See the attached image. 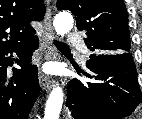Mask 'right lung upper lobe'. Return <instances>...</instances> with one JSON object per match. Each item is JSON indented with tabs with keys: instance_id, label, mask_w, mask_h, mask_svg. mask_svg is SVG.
I'll list each match as a JSON object with an SVG mask.
<instances>
[{
	"instance_id": "obj_1",
	"label": "right lung upper lobe",
	"mask_w": 142,
	"mask_h": 119,
	"mask_svg": "<svg viewBox=\"0 0 142 119\" xmlns=\"http://www.w3.org/2000/svg\"><path fill=\"white\" fill-rule=\"evenodd\" d=\"M44 14L43 0H0V51L29 41L36 34L30 22Z\"/></svg>"
}]
</instances>
